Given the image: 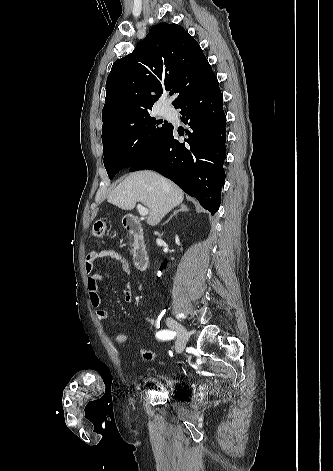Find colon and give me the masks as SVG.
Segmentation results:
<instances>
[{"label":"colon","mask_w":333,"mask_h":471,"mask_svg":"<svg viewBox=\"0 0 333 471\" xmlns=\"http://www.w3.org/2000/svg\"><path fill=\"white\" fill-rule=\"evenodd\" d=\"M107 230V226L103 221H98L94 224L92 228V235L95 238H102ZM115 342L124 346L129 342V336L126 333L118 332L115 334ZM155 353L151 350L142 349V357L145 361H152L155 359Z\"/></svg>","instance_id":"obj_1"}]
</instances>
